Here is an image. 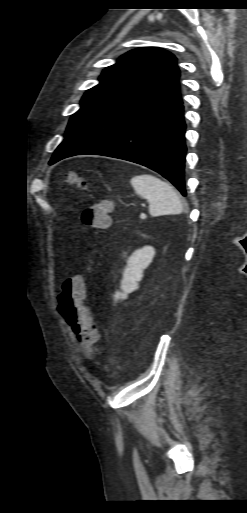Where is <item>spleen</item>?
<instances>
[{"label":"spleen","instance_id":"spleen-1","mask_svg":"<svg viewBox=\"0 0 247 513\" xmlns=\"http://www.w3.org/2000/svg\"><path fill=\"white\" fill-rule=\"evenodd\" d=\"M130 184L138 196L148 200L151 216L183 212L184 206L175 190L170 184L156 176L151 174L135 175L131 178Z\"/></svg>","mask_w":247,"mask_h":513}]
</instances>
